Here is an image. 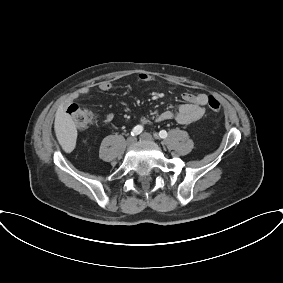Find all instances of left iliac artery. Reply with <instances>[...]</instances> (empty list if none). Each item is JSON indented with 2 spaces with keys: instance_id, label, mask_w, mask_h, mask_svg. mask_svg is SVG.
<instances>
[{
  "instance_id": "left-iliac-artery-1",
  "label": "left iliac artery",
  "mask_w": 283,
  "mask_h": 283,
  "mask_svg": "<svg viewBox=\"0 0 283 283\" xmlns=\"http://www.w3.org/2000/svg\"><path fill=\"white\" fill-rule=\"evenodd\" d=\"M161 139H165L167 137V132L165 130H161L158 135H155Z\"/></svg>"
}]
</instances>
